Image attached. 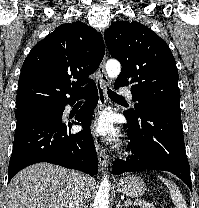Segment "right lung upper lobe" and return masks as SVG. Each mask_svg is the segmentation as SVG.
I'll list each match as a JSON object with an SVG mask.
<instances>
[{
	"instance_id": "right-lung-upper-lobe-1",
	"label": "right lung upper lobe",
	"mask_w": 199,
	"mask_h": 208,
	"mask_svg": "<svg viewBox=\"0 0 199 208\" xmlns=\"http://www.w3.org/2000/svg\"><path fill=\"white\" fill-rule=\"evenodd\" d=\"M104 53L102 35L92 27L79 22L60 25L26 57L19 77L17 109L57 107L77 99L94 84L88 76L98 69Z\"/></svg>"
}]
</instances>
